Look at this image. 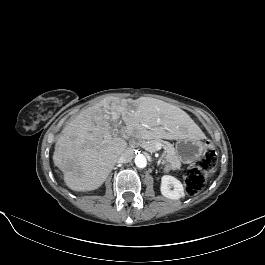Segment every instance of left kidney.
<instances>
[{"label": "left kidney", "mask_w": 265, "mask_h": 265, "mask_svg": "<svg viewBox=\"0 0 265 265\" xmlns=\"http://www.w3.org/2000/svg\"><path fill=\"white\" fill-rule=\"evenodd\" d=\"M173 187V189H171ZM161 194L169 199L178 200L184 197V188L182 183L173 176L164 175L161 178Z\"/></svg>", "instance_id": "1"}]
</instances>
